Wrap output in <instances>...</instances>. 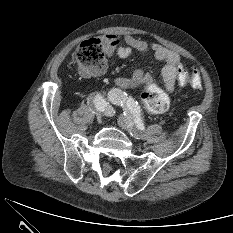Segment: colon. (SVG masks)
I'll return each mask as SVG.
<instances>
[{
    "mask_svg": "<svg viewBox=\"0 0 233 233\" xmlns=\"http://www.w3.org/2000/svg\"><path fill=\"white\" fill-rule=\"evenodd\" d=\"M75 59L83 74L92 75L97 73L104 66V41L96 38L83 41L75 52ZM176 83L179 87L191 85L193 88H200L201 75L196 69L188 71L185 68H181L179 69ZM142 104L146 112L159 114L169 108L170 100L162 89L157 86H149L142 94Z\"/></svg>",
    "mask_w": 233,
    "mask_h": 233,
    "instance_id": "5ec220e1",
    "label": "colon"
}]
</instances>
